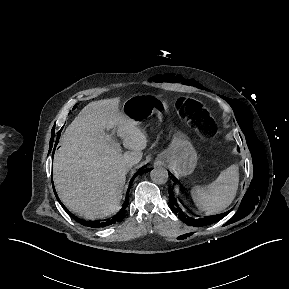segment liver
<instances>
[{
    "mask_svg": "<svg viewBox=\"0 0 289 289\" xmlns=\"http://www.w3.org/2000/svg\"><path fill=\"white\" fill-rule=\"evenodd\" d=\"M118 98L91 102L67 127L53 160V180L62 203L89 220L120 208L128 162L142 159L147 138L137 122L119 110ZM105 129H115L129 151L116 149Z\"/></svg>",
    "mask_w": 289,
    "mask_h": 289,
    "instance_id": "6515ba94",
    "label": "liver"
}]
</instances>
